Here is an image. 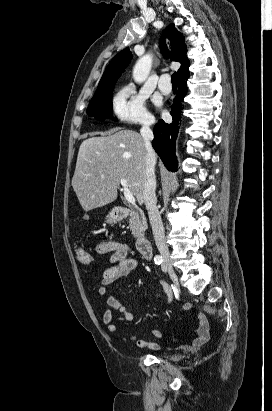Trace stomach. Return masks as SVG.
Listing matches in <instances>:
<instances>
[{
  "mask_svg": "<svg viewBox=\"0 0 272 411\" xmlns=\"http://www.w3.org/2000/svg\"><path fill=\"white\" fill-rule=\"evenodd\" d=\"M115 221H116V219H115L114 217H112V216H107V222H108V223L112 224V223H114Z\"/></svg>",
  "mask_w": 272,
  "mask_h": 411,
  "instance_id": "1",
  "label": "stomach"
}]
</instances>
